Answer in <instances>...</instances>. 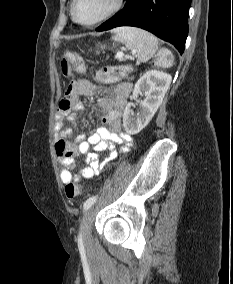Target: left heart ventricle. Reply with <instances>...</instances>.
Masks as SVG:
<instances>
[{
  "instance_id": "b2bd125f",
  "label": "left heart ventricle",
  "mask_w": 233,
  "mask_h": 284,
  "mask_svg": "<svg viewBox=\"0 0 233 284\" xmlns=\"http://www.w3.org/2000/svg\"><path fill=\"white\" fill-rule=\"evenodd\" d=\"M112 5V0H78L75 14L81 22H91L103 15Z\"/></svg>"
}]
</instances>
